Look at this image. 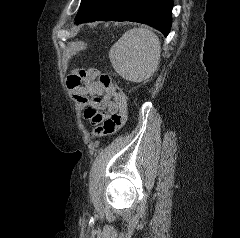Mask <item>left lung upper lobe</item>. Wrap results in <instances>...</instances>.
<instances>
[{"instance_id": "5c2ea615", "label": "left lung upper lobe", "mask_w": 240, "mask_h": 238, "mask_svg": "<svg viewBox=\"0 0 240 238\" xmlns=\"http://www.w3.org/2000/svg\"><path fill=\"white\" fill-rule=\"evenodd\" d=\"M91 2V0H82L81 4H80V8H79V12L76 16V19L79 18L83 12L85 11L86 7L88 6V4Z\"/></svg>"}]
</instances>
